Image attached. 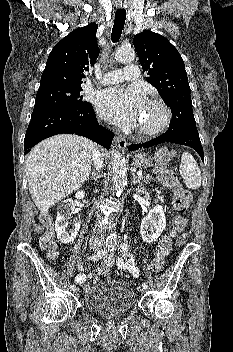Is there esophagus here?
<instances>
[{"mask_svg": "<svg viewBox=\"0 0 233 352\" xmlns=\"http://www.w3.org/2000/svg\"><path fill=\"white\" fill-rule=\"evenodd\" d=\"M115 143H116L117 147L121 150H124L127 147V141L122 136H117L115 138Z\"/></svg>", "mask_w": 233, "mask_h": 352, "instance_id": "obj_1", "label": "esophagus"}]
</instances>
